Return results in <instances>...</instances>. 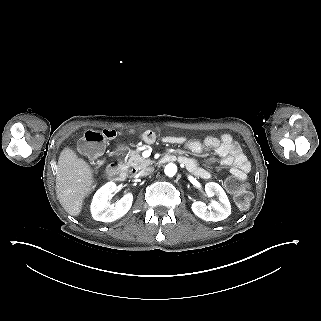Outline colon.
Returning a JSON list of instances; mask_svg holds the SVG:
<instances>
[{
  "mask_svg": "<svg viewBox=\"0 0 321 321\" xmlns=\"http://www.w3.org/2000/svg\"><path fill=\"white\" fill-rule=\"evenodd\" d=\"M118 132L114 129L88 130L79 141V150L92 158L100 155L105 143L116 137ZM226 188L232 193L236 205L240 209L248 208L250 204V193L246 189L245 178L230 176L226 180Z\"/></svg>",
  "mask_w": 321,
  "mask_h": 321,
  "instance_id": "5ec220e1",
  "label": "colon"
}]
</instances>
